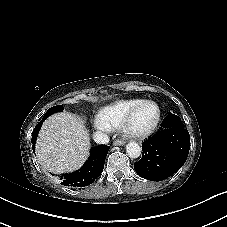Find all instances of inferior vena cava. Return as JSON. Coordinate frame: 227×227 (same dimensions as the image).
<instances>
[{
    "mask_svg": "<svg viewBox=\"0 0 227 227\" xmlns=\"http://www.w3.org/2000/svg\"><path fill=\"white\" fill-rule=\"evenodd\" d=\"M93 139L97 144H107L109 142V136L102 131H96Z\"/></svg>",
    "mask_w": 227,
    "mask_h": 227,
    "instance_id": "obj_1",
    "label": "inferior vena cava"
}]
</instances>
